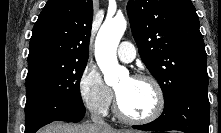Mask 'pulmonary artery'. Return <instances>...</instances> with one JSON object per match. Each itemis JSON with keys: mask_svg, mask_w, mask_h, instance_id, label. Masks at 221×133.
Instances as JSON below:
<instances>
[{"mask_svg": "<svg viewBox=\"0 0 221 133\" xmlns=\"http://www.w3.org/2000/svg\"><path fill=\"white\" fill-rule=\"evenodd\" d=\"M118 57L122 62H132L136 57L134 46L130 42H122L118 48Z\"/></svg>", "mask_w": 221, "mask_h": 133, "instance_id": "1", "label": "pulmonary artery"}]
</instances>
